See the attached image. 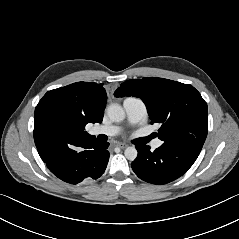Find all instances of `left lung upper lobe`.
I'll return each mask as SVG.
<instances>
[{
	"mask_svg": "<svg viewBox=\"0 0 239 239\" xmlns=\"http://www.w3.org/2000/svg\"><path fill=\"white\" fill-rule=\"evenodd\" d=\"M115 97H139L152 122L161 123L158 138L199 155L208 131L207 104L191 85L155 77L121 84Z\"/></svg>",
	"mask_w": 239,
	"mask_h": 239,
	"instance_id": "obj_1",
	"label": "left lung upper lobe"
}]
</instances>
